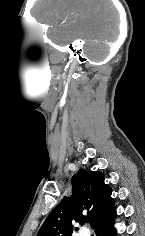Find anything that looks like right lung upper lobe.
<instances>
[{"instance_id": "cb5924a9", "label": "right lung upper lobe", "mask_w": 145, "mask_h": 236, "mask_svg": "<svg viewBox=\"0 0 145 236\" xmlns=\"http://www.w3.org/2000/svg\"><path fill=\"white\" fill-rule=\"evenodd\" d=\"M72 195L63 200L49 214L37 236H71L73 223L82 225L91 217L94 227L115 210L111 188L104 183L101 172L79 170L71 179ZM87 213L88 216L83 214Z\"/></svg>"}]
</instances>
